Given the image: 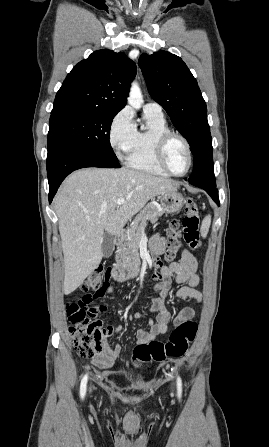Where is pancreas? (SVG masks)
<instances>
[{
	"label": "pancreas",
	"instance_id": "cf45deb5",
	"mask_svg": "<svg viewBox=\"0 0 269 447\" xmlns=\"http://www.w3.org/2000/svg\"><path fill=\"white\" fill-rule=\"evenodd\" d=\"M163 212H159L157 206L154 204H147L138 216H136L134 222L130 227H128L127 237H123L120 247L116 251V261L117 263H124L129 269H139L140 257L138 253L139 243L146 227L147 222L155 224L159 216H162Z\"/></svg>",
	"mask_w": 269,
	"mask_h": 447
}]
</instances>
